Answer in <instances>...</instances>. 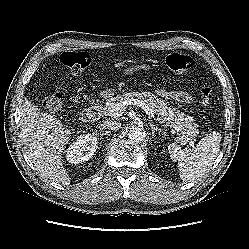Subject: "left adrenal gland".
Returning <instances> with one entry per match:
<instances>
[{"label": "left adrenal gland", "mask_w": 249, "mask_h": 249, "mask_svg": "<svg viewBox=\"0 0 249 249\" xmlns=\"http://www.w3.org/2000/svg\"><path fill=\"white\" fill-rule=\"evenodd\" d=\"M150 127L152 128V134L154 135L156 132L160 133L162 129L155 126L152 122H149Z\"/></svg>", "instance_id": "left-adrenal-gland-1"}]
</instances>
